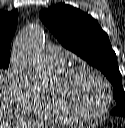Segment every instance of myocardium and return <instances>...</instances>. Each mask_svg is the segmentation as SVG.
Wrapping results in <instances>:
<instances>
[{
	"mask_svg": "<svg viewBox=\"0 0 125 128\" xmlns=\"http://www.w3.org/2000/svg\"><path fill=\"white\" fill-rule=\"evenodd\" d=\"M82 71H88L96 75L104 87L105 99H106L105 104L99 112L94 114H83L73 109L63 93L64 87L68 84V82L77 73ZM58 86L59 87L57 90L51 92L52 97L58 109L72 121L79 123H89V122L97 121L101 119L103 116H105L110 110L112 104V93H111L110 84L106 79V77L98 69L92 66L86 64H80L63 71L58 79Z\"/></svg>",
	"mask_w": 125,
	"mask_h": 128,
	"instance_id": "myocardium-1",
	"label": "myocardium"
}]
</instances>
